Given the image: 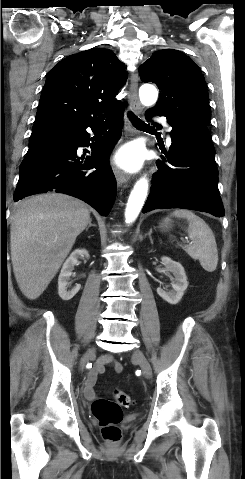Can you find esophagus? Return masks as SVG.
<instances>
[{"instance_id":"esophagus-1","label":"esophagus","mask_w":245,"mask_h":479,"mask_svg":"<svg viewBox=\"0 0 245 479\" xmlns=\"http://www.w3.org/2000/svg\"><path fill=\"white\" fill-rule=\"evenodd\" d=\"M129 93H130V109L135 113L142 112V105L138 99V74L136 72L131 74L130 77V85H129ZM127 130L129 133L133 132V127L130 121L127 119ZM113 171L116 177L118 184L121 186L128 182L130 176L121 170L120 168L114 166Z\"/></svg>"}]
</instances>
